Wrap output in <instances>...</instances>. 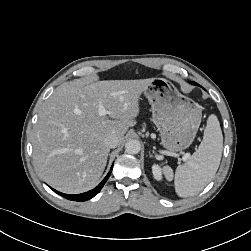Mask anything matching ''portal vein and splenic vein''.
<instances>
[{"label":"portal vein and splenic vein","instance_id":"obj_1","mask_svg":"<svg viewBox=\"0 0 251 251\" xmlns=\"http://www.w3.org/2000/svg\"><path fill=\"white\" fill-rule=\"evenodd\" d=\"M98 111H99V115L100 116H105V115H107V114H109V111H107L106 109H105V107L102 105V104H99V106H98ZM189 157H190V155L188 154V153H186L184 156H183V160L184 161H187L188 159H189Z\"/></svg>","mask_w":251,"mask_h":251}]
</instances>
